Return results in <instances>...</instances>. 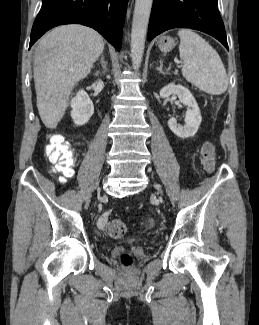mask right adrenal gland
Listing matches in <instances>:
<instances>
[{"label": "right adrenal gland", "instance_id": "obj_1", "mask_svg": "<svg viewBox=\"0 0 259 325\" xmlns=\"http://www.w3.org/2000/svg\"><path fill=\"white\" fill-rule=\"evenodd\" d=\"M100 62H101V65H102L103 71H102V72L97 71V72L94 74L95 76H99L101 73H104V72L107 71V62L105 61V59H104V55H103V54H102V56H101Z\"/></svg>", "mask_w": 259, "mask_h": 325}]
</instances>
